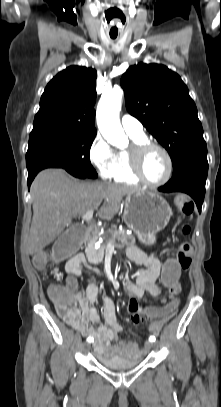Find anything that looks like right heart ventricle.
Listing matches in <instances>:
<instances>
[{
	"label": "right heart ventricle",
	"instance_id": "1",
	"mask_svg": "<svg viewBox=\"0 0 221 407\" xmlns=\"http://www.w3.org/2000/svg\"><path fill=\"white\" fill-rule=\"evenodd\" d=\"M133 143L148 141L145 135H130ZM117 164L112 178L116 182L127 183V184H137L139 180L132 174L129 167V159L127 151H119L116 153Z\"/></svg>",
	"mask_w": 221,
	"mask_h": 407
}]
</instances>
